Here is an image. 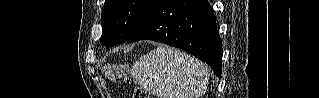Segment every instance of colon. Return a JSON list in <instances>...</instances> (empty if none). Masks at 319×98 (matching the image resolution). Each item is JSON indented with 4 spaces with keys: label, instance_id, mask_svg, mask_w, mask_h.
<instances>
[{
    "label": "colon",
    "instance_id": "colon-1",
    "mask_svg": "<svg viewBox=\"0 0 319 98\" xmlns=\"http://www.w3.org/2000/svg\"><path fill=\"white\" fill-rule=\"evenodd\" d=\"M135 98H150V95L144 88H138L135 93Z\"/></svg>",
    "mask_w": 319,
    "mask_h": 98
}]
</instances>
